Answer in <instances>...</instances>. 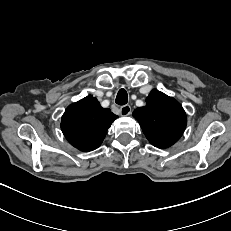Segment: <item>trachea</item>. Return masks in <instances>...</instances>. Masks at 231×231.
Listing matches in <instances>:
<instances>
[{
  "label": "trachea",
  "instance_id": "obj_1",
  "mask_svg": "<svg viewBox=\"0 0 231 231\" xmlns=\"http://www.w3.org/2000/svg\"><path fill=\"white\" fill-rule=\"evenodd\" d=\"M115 102L118 105H125L128 102V95L125 89H120L117 96H116V100Z\"/></svg>",
  "mask_w": 231,
  "mask_h": 231
}]
</instances>
